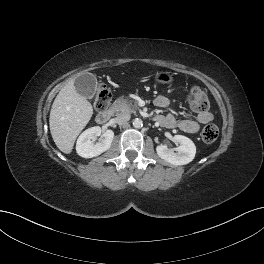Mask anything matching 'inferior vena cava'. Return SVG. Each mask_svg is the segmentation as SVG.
Returning <instances> with one entry per match:
<instances>
[{
  "label": "inferior vena cava",
  "mask_w": 264,
  "mask_h": 264,
  "mask_svg": "<svg viewBox=\"0 0 264 264\" xmlns=\"http://www.w3.org/2000/svg\"><path fill=\"white\" fill-rule=\"evenodd\" d=\"M129 119H130L129 114H123V115L116 117L114 119V121L119 125H123V124L127 123L129 121Z\"/></svg>",
  "instance_id": "obj_1"
}]
</instances>
